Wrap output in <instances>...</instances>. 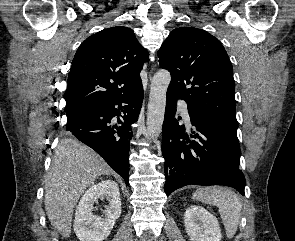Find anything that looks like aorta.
Instances as JSON below:
<instances>
[{
	"label": "aorta",
	"instance_id": "762f6f07",
	"mask_svg": "<svg viewBox=\"0 0 295 241\" xmlns=\"http://www.w3.org/2000/svg\"><path fill=\"white\" fill-rule=\"evenodd\" d=\"M171 81L167 70H159L151 80L147 110V134L151 140L159 137L162 132L166 107V93Z\"/></svg>",
	"mask_w": 295,
	"mask_h": 241
}]
</instances>
